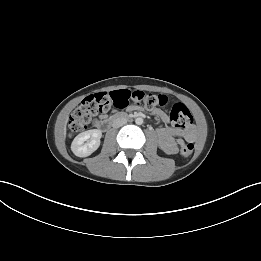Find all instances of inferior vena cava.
I'll return each instance as SVG.
<instances>
[{
  "label": "inferior vena cava",
  "mask_w": 261,
  "mask_h": 261,
  "mask_svg": "<svg viewBox=\"0 0 261 261\" xmlns=\"http://www.w3.org/2000/svg\"><path fill=\"white\" fill-rule=\"evenodd\" d=\"M126 123H127V119L126 118L119 117V118L114 119V121L112 123V126L114 128H119V127L125 125Z\"/></svg>",
  "instance_id": "inferior-vena-cava-1"
}]
</instances>
